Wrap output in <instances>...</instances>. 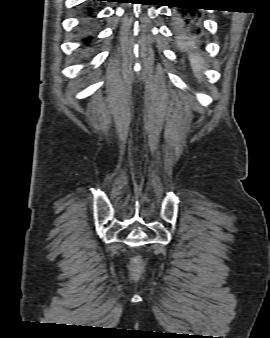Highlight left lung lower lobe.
<instances>
[{"mask_svg":"<svg viewBox=\"0 0 270 338\" xmlns=\"http://www.w3.org/2000/svg\"><path fill=\"white\" fill-rule=\"evenodd\" d=\"M182 4V3H177ZM174 15L175 37L180 42L199 41L203 32L199 25L200 13L195 11V7L178 5Z\"/></svg>","mask_w":270,"mask_h":338,"instance_id":"0a47b994","label":"left lung lower lobe"}]
</instances>
